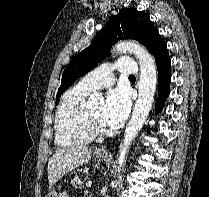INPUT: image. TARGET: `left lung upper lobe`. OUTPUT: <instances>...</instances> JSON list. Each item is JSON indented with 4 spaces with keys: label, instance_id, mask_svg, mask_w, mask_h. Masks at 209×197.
<instances>
[{
    "label": "left lung upper lobe",
    "instance_id": "1",
    "mask_svg": "<svg viewBox=\"0 0 209 197\" xmlns=\"http://www.w3.org/2000/svg\"><path fill=\"white\" fill-rule=\"evenodd\" d=\"M120 39H135L145 45L151 54L163 43L148 14L136 9H121L117 15L109 18L92 43L67 65L62 74L56 102L78 77L90 71L98 62L110 55L111 46Z\"/></svg>",
    "mask_w": 209,
    "mask_h": 197
}]
</instances>
